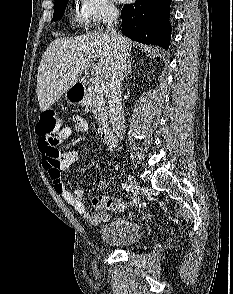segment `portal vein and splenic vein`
Returning a JSON list of instances; mask_svg holds the SVG:
<instances>
[{"mask_svg":"<svg viewBox=\"0 0 233 294\" xmlns=\"http://www.w3.org/2000/svg\"><path fill=\"white\" fill-rule=\"evenodd\" d=\"M94 90L97 93H103L105 91V83L102 80H96L94 83Z\"/></svg>","mask_w":233,"mask_h":294,"instance_id":"18ae733b","label":"portal vein and splenic vein"}]
</instances>
